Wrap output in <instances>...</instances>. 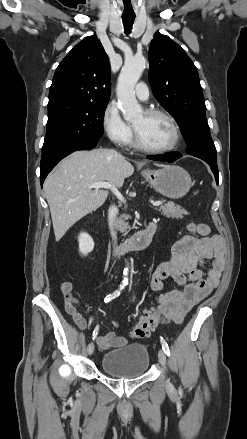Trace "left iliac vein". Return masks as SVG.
Wrapping results in <instances>:
<instances>
[{"instance_id": "1", "label": "left iliac vein", "mask_w": 247, "mask_h": 439, "mask_svg": "<svg viewBox=\"0 0 247 439\" xmlns=\"http://www.w3.org/2000/svg\"><path fill=\"white\" fill-rule=\"evenodd\" d=\"M159 362L163 367H166V356L163 350H159L158 352Z\"/></svg>"}]
</instances>
